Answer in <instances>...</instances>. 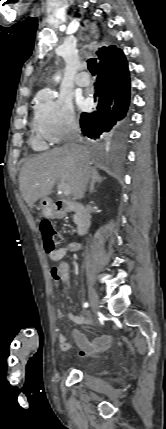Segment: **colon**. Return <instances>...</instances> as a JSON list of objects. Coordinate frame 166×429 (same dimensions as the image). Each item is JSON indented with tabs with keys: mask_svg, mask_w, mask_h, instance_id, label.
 Here are the masks:
<instances>
[{
	"mask_svg": "<svg viewBox=\"0 0 166 429\" xmlns=\"http://www.w3.org/2000/svg\"><path fill=\"white\" fill-rule=\"evenodd\" d=\"M40 231L46 252L51 253L58 249L63 239L61 234L52 227L49 221L43 220L41 222Z\"/></svg>",
	"mask_w": 166,
	"mask_h": 429,
	"instance_id": "1",
	"label": "colon"
}]
</instances>
